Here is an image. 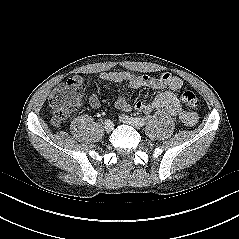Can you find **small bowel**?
Instances as JSON below:
<instances>
[{"mask_svg": "<svg viewBox=\"0 0 239 239\" xmlns=\"http://www.w3.org/2000/svg\"><path fill=\"white\" fill-rule=\"evenodd\" d=\"M100 80L105 83H121L126 82L132 89L149 87L155 90H161L156 97L150 101L138 100L132 105L121 90L117 92L116 107L122 111H130L132 108L143 113H151L155 110H165L170 115L176 117L182 124L193 126L198 121L195 112L184 110L175 95L183 86L180 77L171 73H162L159 77H151L148 75H138L122 71L102 72L99 76ZM80 82H84L83 78L77 76L75 78ZM89 105L92 108L100 106V100L97 95L93 94L89 97Z\"/></svg>", "mask_w": 239, "mask_h": 239, "instance_id": "1", "label": "small bowel"}]
</instances>
